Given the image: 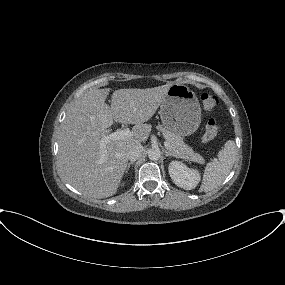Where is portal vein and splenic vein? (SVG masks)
Instances as JSON below:
<instances>
[{"mask_svg": "<svg viewBox=\"0 0 285 285\" xmlns=\"http://www.w3.org/2000/svg\"><path fill=\"white\" fill-rule=\"evenodd\" d=\"M132 136H133V133L129 129L117 130L111 134L102 133L100 135V138H101L100 146L101 148H104L105 145L110 141L121 140V139L129 138ZM164 145L167 148L170 146V144L167 141L164 142Z\"/></svg>", "mask_w": 285, "mask_h": 285, "instance_id": "18ae733b", "label": "portal vein and splenic vein"}]
</instances>
